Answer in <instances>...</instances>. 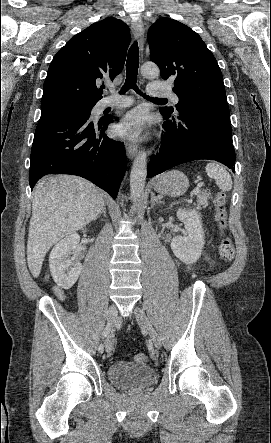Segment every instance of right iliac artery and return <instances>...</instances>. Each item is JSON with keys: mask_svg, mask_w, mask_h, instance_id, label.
I'll use <instances>...</instances> for the list:
<instances>
[{"mask_svg": "<svg viewBox=\"0 0 271 443\" xmlns=\"http://www.w3.org/2000/svg\"><path fill=\"white\" fill-rule=\"evenodd\" d=\"M111 326H112L111 323L108 322V324L106 325V327L104 328L103 333H102V338L103 339L108 336V334H109V332L111 330ZM98 351L100 353H103L104 345L102 343L99 345Z\"/></svg>", "mask_w": 271, "mask_h": 443, "instance_id": "1", "label": "right iliac artery"}]
</instances>
